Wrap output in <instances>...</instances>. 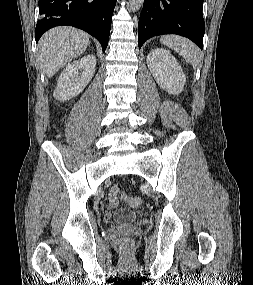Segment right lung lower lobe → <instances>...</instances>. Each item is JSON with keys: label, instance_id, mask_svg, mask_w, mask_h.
I'll return each mask as SVG.
<instances>
[{"label": "right lung lower lobe", "instance_id": "98d812e1", "mask_svg": "<svg viewBox=\"0 0 253 285\" xmlns=\"http://www.w3.org/2000/svg\"><path fill=\"white\" fill-rule=\"evenodd\" d=\"M116 0H39L36 42L52 27L69 25L94 36L105 51Z\"/></svg>", "mask_w": 253, "mask_h": 285}]
</instances>
